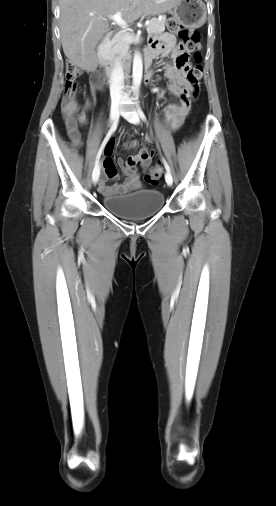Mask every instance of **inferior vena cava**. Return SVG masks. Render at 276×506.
I'll list each match as a JSON object with an SVG mask.
<instances>
[{"instance_id":"602c4592","label":"inferior vena cava","mask_w":276,"mask_h":506,"mask_svg":"<svg viewBox=\"0 0 276 506\" xmlns=\"http://www.w3.org/2000/svg\"><path fill=\"white\" fill-rule=\"evenodd\" d=\"M123 76L122 65L117 61L111 73L110 95L112 102L119 103L124 99Z\"/></svg>"}]
</instances>
